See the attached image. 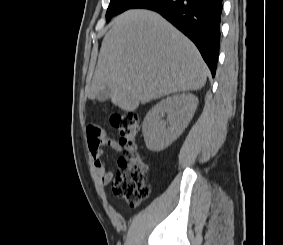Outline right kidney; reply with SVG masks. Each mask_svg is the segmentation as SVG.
I'll use <instances>...</instances> for the list:
<instances>
[{"mask_svg":"<svg viewBox=\"0 0 283 245\" xmlns=\"http://www.w3.org/2000/svg\"><path fill=\"white\" fill-rule=\"evenodd\" d=\"M197 105L198 98L195 95L182 93L167 97L153 106L142 125L146 147L151 151L168 147L185 130ZM165 114L166 120L162 119Z\"/></svg>","mask_w":283,"mask_h":245,"instance_id":"ca27d5eb","label":"right kidney"}]
</instances>
